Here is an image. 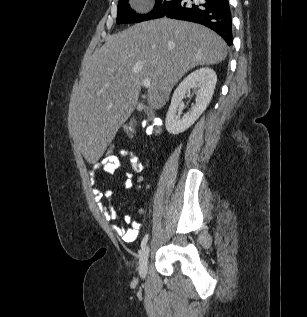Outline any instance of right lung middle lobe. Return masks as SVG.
<instances>
[{
	"label": "right lung middle lobe",
	"mask_w": 307,
	"mask_h": 317,
	"mask_svg": "<svg viewBox=\"0 0 307 317\" xmlns=\"http://www.w3.org/2000/svg\"><path fill=\"white\" fill-rule=\"evenodd\" d=\"M176 0H155L154 9L146 14L140 15L133 11L128 0L118 2L117 24L119 23H138L145 20L159 18L168 8H170Z\"/></svg>",
	"instance_id": "dd1d6c3e"
}]
</instances>
